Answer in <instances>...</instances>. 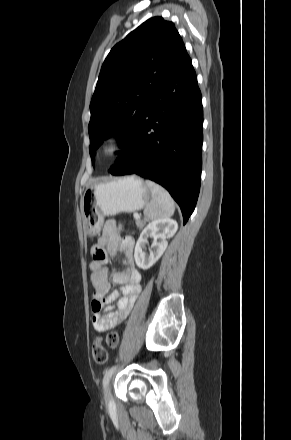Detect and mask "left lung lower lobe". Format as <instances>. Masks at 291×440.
<instances>
[{
	"instance_id": "obj_1",
	"label": "left lung lower lobe",
	"mask_w": 291,
	"mask_h": 440,
	"mask_svg": "<svg viewBox=\"0 0 291 440\" xmlns=\"http://www.w3.org/2000/svg\"><path fill=\"white\" fill-rule=\"evenodd\" d=\"M202 96L186 54L151 98L134 135L109 172L137 174L165 187L179 204L183 224L200 190Z\"/></svg>"
}]
</instances>
